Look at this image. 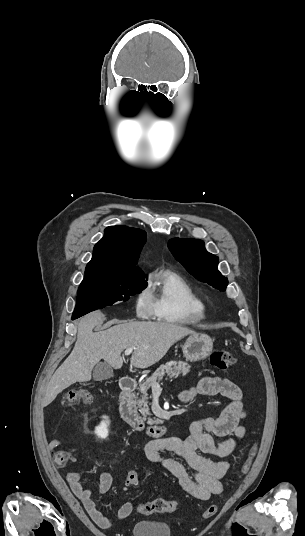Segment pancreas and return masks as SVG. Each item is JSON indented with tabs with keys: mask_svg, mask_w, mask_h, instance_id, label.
<instances>
[{
	"mask_svg": "<svg viewBox=\"0 0 305 536\" xmlns=\"http://www.w3.org/2000/svg\"><path fill=\"white\" fill-rule=\"evenodd\" d=\"M191 366L189 364H186V362H168V364H163V366H160V368H157L156 372H154L153 376H150V378H147V380H144V382H141L139 384V392L141 394L140 400H137V408H140L139 412H141L143 416V420H146L147 416H151L148 408V394L147 390L151 388L152 384L154 382H161L163 378L165 380H168V378H179V376H186L188 372H190Z\"/></svg>",
	"mask_w": 305,
	"mask_h": 536,
	"instance_id": "obj_1",
	"label": "pancreas"
}]
</instances>
